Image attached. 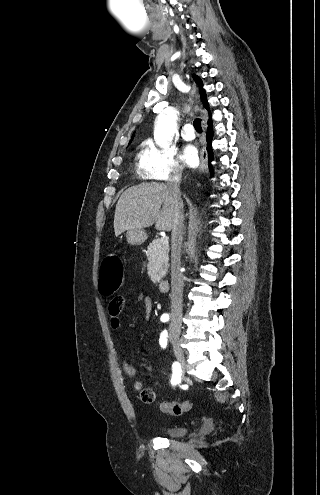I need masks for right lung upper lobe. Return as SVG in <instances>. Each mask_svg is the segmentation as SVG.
Wrapping results in <instances>:
<instances>
[{
	"label": "right lung upper lobe",
	"instance_id": "1",
	"mask_svg": "<svg viewBox=\"0 0 320 495\" xmlns=\"http://www.w3.org/2000/svg\"><path fill=\"white\" fill-rule=\"evenodd\" d=\"M193 79L194 81L196 82V84L198 85L199 87V94H200V98H201V101L203 103V106L208 110L209 112V115H210V120L208 121V123L212 122L211 121V113H210V110H209V104H208V101H207V98H206V91L203 89V82H202V79L196 75V74H193ZM134 136V134H133ZM131 142V141H130Z\"/></svg>",
	"mask_w": 320,
	"mask_h": 495
}]
</instances>
